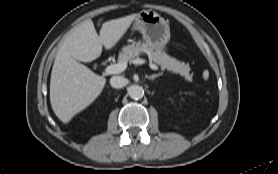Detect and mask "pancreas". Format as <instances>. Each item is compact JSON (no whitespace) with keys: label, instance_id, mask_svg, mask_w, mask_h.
Here are the masks:
<instances>
[{"label":"pancreas","instance_id":"cf45deb5","mask_svg":"<svg viewBox=\"0 0 278 174\" xmlns=\"http://www.w3.org/2000/svg\"><path fill=\"white\" fill-rule=\"evenodd\" d=\"M143 52L149 56L150 60L158 64L162 69H167L172 73H179L187 81L192 80L189 64L180 62L161 50L153 49L146 43H136L124 47L118 59L122 63H128Z\"/></svg>","mask_w":278,"mask_h":174}]
</instances>
